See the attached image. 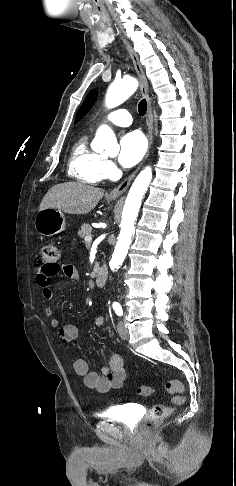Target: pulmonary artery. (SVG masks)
Instances as JSON below:
<instances>
[{
	"mask_svg": "<svg viewBox=\"0 0 236 486\" xmlns=\"http://www.w3.org/2000/svg\"><path fill=\"white\" fill-rule=\"evenodd\" d=\"M105 120L121 127L130 126L132 123L131 114L125 109H117L105 116Z\"/></svg>",
	"mask_w": 236,
	"mask_h": 486,
	"instance_id": "obj_1",
	"label": "pulmonary artery"
}]
</instances>
